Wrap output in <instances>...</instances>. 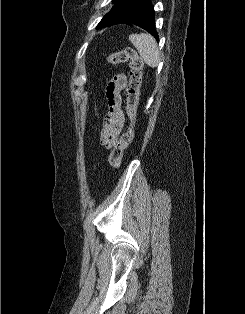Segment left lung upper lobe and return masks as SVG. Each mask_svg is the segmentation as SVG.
<instances>
[{"label":"left lung upper lobe","mask_w":245,"mask_h":314,"mask_svg":"<svg viewBox=\"0 0 245 314\" xmlns=\"http://www.w3.org/2000/svg\"><path fill=\"white\" fill-rule=\"evenodd\" d=\"M115 6L102 18L98 26L107 27L115 24H127L142 9L147 0H113Z\"/></svg>","instance_id":"1"}]
</instances>
